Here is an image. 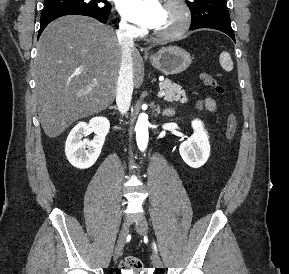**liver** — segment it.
Instances as JSON below:
<instances>
[{
  "label": "liver",
  "mask_w": 289,
  "mask_h": 274,
  "mask_svg": "<svg viewBox=\"0 0 289 274\" xmlns=\"http://www.w3.org/2000/svg\"><path fill=\"white\" fill-rule=\"evenodd\" d=\"M134 85L143 82L139 51L131 47ZM122 51L115 32L77 15L50 23L37 44L33 64L38 116L56 138L73 122L105 110L114 101Z\"/></svg>",
  "instance_id": "liver-1"
}]
</instances>
